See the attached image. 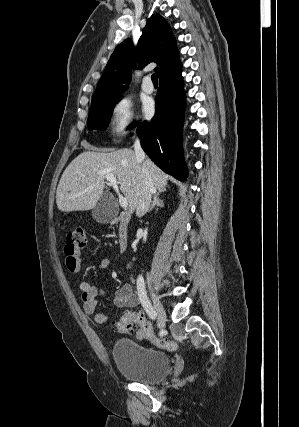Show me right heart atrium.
<instances>
[{"mask_svg": "<svg viewBox=\"0 0 299 427\" xmlns=\"http://www.w3.org/2000/svg\"><path fill=\"white\" fill-rule=\"evenodd\" d=\"M134 126V104L130 96L122 94L111 104L109 110V130L114 139L128 134Z\"/></svg>", "mask_w": 299, "mask_h": 427, "instance_id": "1", "label": "right heart atrium"}]
</instances>
